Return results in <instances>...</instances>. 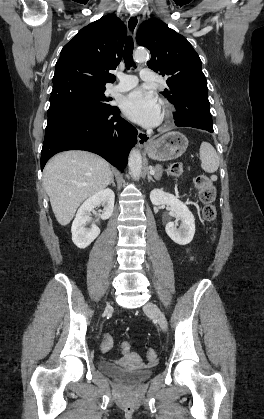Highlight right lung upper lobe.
Returning a JSON list of instances; mask_svg holds the SVG:
<instances>
[{
	"label": "right lung upper lobe",
	"instance_id": "cb5924a9",
	"mask_svg": "<svg viewBox=\"0 0 264 419\" xmlns=\"http://www.w3.org/2000/svg\"><path fill=\"white\" fill-rule=\"evenodd\" d=\"M127 29L115 15H107L81 29L61 50L51 94L76 87L105 88L113 83L122 58Z\"/></svg>",
	"mask_w": 264,
	"mask_h": 419
}]
</instances>
